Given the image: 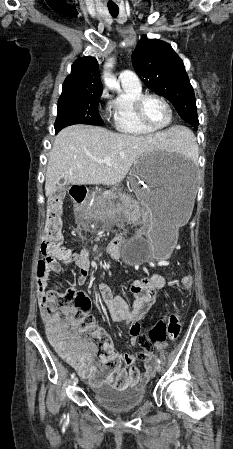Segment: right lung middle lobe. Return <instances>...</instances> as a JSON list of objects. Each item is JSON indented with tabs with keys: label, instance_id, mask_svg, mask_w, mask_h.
I'll use <instances>...</instances> for the list:
<instances>
[{
	"label": "right lung middle lobe",
	"instance_id": "right-lung-middle-lobe-1",
	"mask_svg": "<svg viewBox=\"0 0 233 449\" xmlns=\"http://www.w3.org/2000/svg\"><path fill=\"white\" fill-rule=\"evenodd\" d=\"M102 93L60 96L55 130L73 124L103 125L98 111V104Z\"/></svg>",
	"mask_w": 233,
	"mask_h": 449
}]
</instances>
